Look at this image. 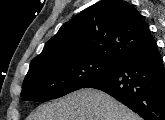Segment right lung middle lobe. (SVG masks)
Wrapping results in <instances>:
<instances>
[{"label": "right lung middle lobe", "instance_id": "right-lung-middle-lobe-1", "mask_svg": "<svg viewBox=\"0 0 165 120\" xmlns=\"http://www.w3.org/2000/svg\"><path fill=\"white\" fill-rule=\"evenodd\" d=\"M114 65L115 62L93 58H73L34 65L24 79L21 98L46 102L62 97L104 77Z\"/></svg>", "mask_w": 165, "mask_h": 120}]
</instances>
